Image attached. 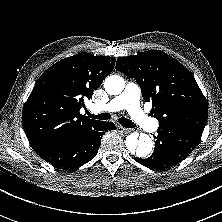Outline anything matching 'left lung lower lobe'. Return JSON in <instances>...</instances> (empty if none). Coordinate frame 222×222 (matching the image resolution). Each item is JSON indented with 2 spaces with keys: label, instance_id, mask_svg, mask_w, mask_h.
Here are the masks:
<instances>
[{
  "label": "left lung lower lobe",
  "instance_id": "obj_1",
  "mask_svg": "<svg viewBox=\"0 0 222 222\" xmlns=\"http://www.w3.org/2000/svg\"><path fill=\"white\" fill-rule=\"evenodd\" d=\"M203 130L171 124H159L153 154L138 163L156 170H165L179 164L198 145Z\"/></svg>",
  "mask_w": 222,
  "mask_h": 222
}]
</instances>
